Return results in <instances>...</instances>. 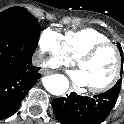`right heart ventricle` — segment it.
I'll return each instance as SVG.
<instances>
[{
	"label": "right heart ventricle",
	"instance_id": "obj_1",
	"mask_svg": "<svg viewBox=\"0 0 124 124\" xmlns=\"http://www.w3.org/2000/svg\"><path fill=\"white\" fill-rule=\"evenodd\" d=\"M110 42L109 37L94 28L67 31L63 35V45L70 59H78L93 46Z\"/></svg>",
	"mask_w": 124,
	"mask_h": 124
}]
</instances>
